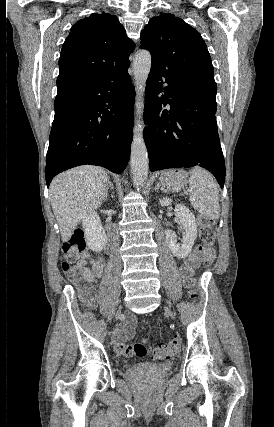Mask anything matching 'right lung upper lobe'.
Listing matches in <instances>:
<instances>
[{
  "mask_svg": "<svg viewBox=\"0 0 274 427\" xmlns=\"http://www.w3.org/2000/svg\"><path fill=\"white\" fill-rule=\"evenodd\" d=\"M134 47L115 15L93 13L76 22L61 50L55 100L83 92L127 69Z\"/></svg>",
  "mask_w": 274,
  "mask_h": 427,
  "instance_id": "1",
  "label": "right lung upper lobe"
}]
</instances>
